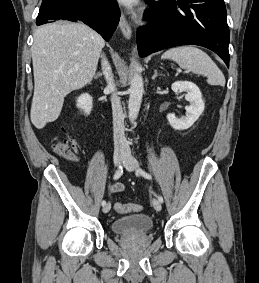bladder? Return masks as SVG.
Masks as SVG:
<instances>
[{
	"label": "bladder",
	"mask_w": 259,
	"mask_h": 283,
	"mask_svg": "<svg viewBox=\"0 0 259 283\" xmlns=\"http://www.w3.org/2000/svg\"><path fill=\"white\" fill-rule=\"evenodd\" d=\"M115 234H143L153 228V221L144 214H135L115 220L111 225Z\"/></svg>",
	"instance_id": "bladder-1"
}]
</instances>
